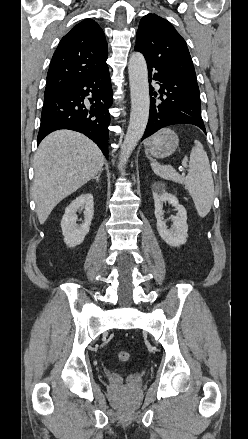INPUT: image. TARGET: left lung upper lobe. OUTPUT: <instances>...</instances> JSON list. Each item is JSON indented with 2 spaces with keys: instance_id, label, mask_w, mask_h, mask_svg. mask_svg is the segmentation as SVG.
<instances>
[{
  "instance_id": "5c2ea615",
  "label": "left lung upper lobe",
  "mask_w": 248,
  "mask_h": 439,
  "mask_svg": "<svg viewBox=\"0 0 248 439\" xmlns=\"http://www.w3.org/2000/svg\"><path fill=\"white\" fill-rule=\"evenodd\" d=\"M135 50L147 61L197 81L186 42L167 20L155 14L144 16L139 23Z\"/></svg>"
}]
</instances>
